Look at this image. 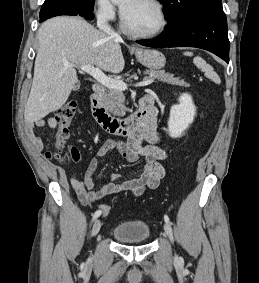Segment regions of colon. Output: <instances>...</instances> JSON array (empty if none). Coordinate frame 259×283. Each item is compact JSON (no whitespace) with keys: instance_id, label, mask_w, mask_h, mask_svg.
<instances>
[{"instance_id":"colon-1","label":"colon","mask_w":259,"mask_h":283,"mask_svg":"<svg viewBox=\"0 0 259 283\" xmlns=\"http://www.w3.org/2000/svg\"><path fill=\"white\" fill-rule=\"evenodd\" d=\"M78 110V103L76 100H68L55 114V121L57 124L56 133V146L58 148H63L66 140L70 136V129L72 126L73 119ZM69 155L73 160L79 159V153L77 149L71 148ZM58 156V154H55ZM101 213L106 216L110 213L111 207L107 204L100 207Z\"/></svg>"}]
</instances>
